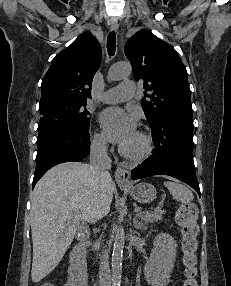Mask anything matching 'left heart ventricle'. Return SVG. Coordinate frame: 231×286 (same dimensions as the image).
I'll use <instances>...</instances> for the list:
<instances>
[{"label": "left heart ventricle", "instance_id": "b2bd125f", "mask_svg": "<svg viewBox=\"0 0 231 286\" xmlns=\"http://www.w3.org/2000/svg\"><path fill=\"white\" fill-rule=\"evenodd\" d=\"M130 152L139 151L142 147V141L138 134L134 136V138L124 146Z\"/></svg>", "mask_w": 231, "mask_h": 286}]
</instances>
